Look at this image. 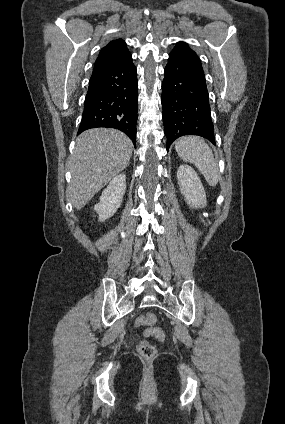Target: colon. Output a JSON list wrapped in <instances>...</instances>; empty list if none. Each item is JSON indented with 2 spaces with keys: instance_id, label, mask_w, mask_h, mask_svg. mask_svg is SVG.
I'll return each mask as SVG.
<instances>
[{
  "instance_id": "1",
  "label": "colon",
  "mask_w": 285,
  "mask_h": 424,
  "mask_svg": "<svg viewBox=\"0 0 285 424\" xmlns=\"http://www.w3.org/2000/svg\"><path fill=\"white\" fill-rule=\"evenodd\" d=\"M155 322H156V317L154 314H145L141 316L137 321L139 325H144V326H152L155 324ZM148 330L151 331V334L155 338L159 340H164L165 336L161 330L155 329V328H149ZM137 349H138V353L146 359L153 358L156 355L155 346L146 340L140 341Z\"/></svg>"
}]
</instances>
